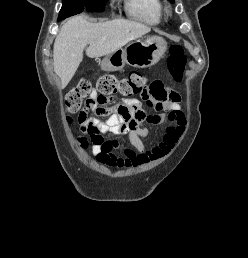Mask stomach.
<instances>
[{"label":"stomach","instance_id":"stomach-1","mask_svg":"<svg viewBox=\"0 0 248 258\" xmlns=\"http://www.w3.org/2000/svg\"><path fill=\"white\" fill-rule=\"evenodd\" d=\"M167 50L166 41L158 36L144 40L135 39L124 49L107 55L101 62L104 71H120L126 64L137 68L151 67L158 63Z\"/></svg>","mask_w":248,"mask_h":258}]
</instances>
